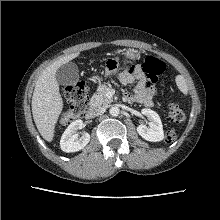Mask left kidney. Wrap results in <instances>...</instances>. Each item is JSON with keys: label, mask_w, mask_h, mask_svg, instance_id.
<instances>
[{"label": "left kidney", "mask_w": 220, "mask_h": 220, "mask_svg": "<svg viewBox=\"0 0 220 220\" xmlns=\"http://www.w3.org/2000/svg\"><path fill=\"white\" fill-rule=\"evenodd\" d=\"M142 114L149 119V127L146 125H139L137 127L138 134L145 140L150 142H159L164 139V131L159 115L151 110L144 108L141 110Z\"/></svg>", "instance_id": "5707ae66"}]
</instances>
